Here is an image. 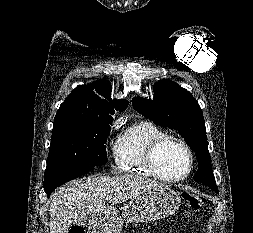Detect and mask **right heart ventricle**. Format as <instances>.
I'll use <instances>...</instances> for the list:
<instances>
[{
	"instance_id": "obj_1",
	"label": "right heart ventricle",
	"mask_w": 253,
	"mask_h": 233,
	"mask_svg": "<svg viewBox=\"0 0 253 233\" xmlns=\"http://www.w3.org/2000/svg\"><path fill=\"white\" fill-rule=\"evenodd\" d=\"M167 134L153 121L142 120L125 129L114 145L116 167L132 174L154 177L146 163L148 149Z\"/></svg>"
}]
</instances>
